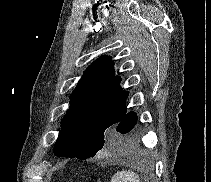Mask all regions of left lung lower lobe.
<instances>
[{
    "label": "left lung lower lobe",
    "instance_id": "obj_1",
    "mask_svg": "<svg viewBox=\"0 0 211 182\" xmlns=\"http://www.w3.org/2000/svg\"><path fill=\"white\" fill-rule=\"evenodd\" d=\"M137 122V116L135 112H128L121 119V121L114 128L109 142L117 147H124L129 144V135Z\"/></svg>",
    "mask_w": 211,
    "mask_h": 182
}]
</instances>
